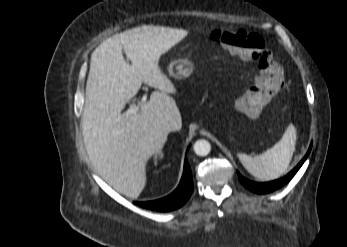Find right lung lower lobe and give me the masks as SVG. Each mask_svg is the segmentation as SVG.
Instances as JSON below:
<instances>
[{"label":"right lung lower lobe","instance_id":"98d812e1","mask_svg":"<svg viewBox=\"0 0 347 247\" xmlns=\"http://www.w3.org/2000/svg\"><path fill=\"white\" fill-rule=\"evenodd\" d=\"M192 191L193 180L191 168L187 159H185L183 176L175 191L165 198L148 202H136V204L140 207L156 211H172L184 205L190 198Z\"/></svg>","mask_w":347,"mask_h":247}]
</instances>
